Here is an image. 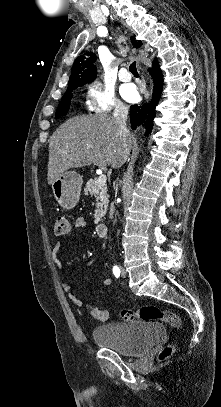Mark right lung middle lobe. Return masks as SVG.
I'll use <instances>...</instances> for the list:
<instances>
[{
    "label": "right lung middle lobe",
    "mask_w": 221,
    "mask_h": 407,
    "mask_svg": "<svg viewBox=\"0 0 221 407\" xmlns=\"http://www.w3.org/2000/svg\"><path fill=\"white\" fill-rule=\"evenodd\" d=\"M73 90L74 89L66 91L65 95L62 97V99L59 103V107L56 111L55 117H61V116H64L67 114L70 103H71L70 100L73 97V93H72Z\"/></svg>",
    "instance_id": "dd1d6c3e"
}]
</instances>
